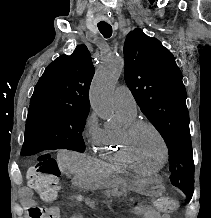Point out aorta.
<instances>
[{
	"instance_id": "aorta-1",
	"label": "aorta",
	"mask_w": 211,
	"mask_h": 218,
	"mask_svg": "<svg viewBox=\"0 0 211 218\" xmlns=\"http://www.w3.org/2000/svg\"><path fill=\"white\" fill-rule=\"evenodd\" d=\"M124 69L121 57H106L97 69L90 88V103L93 110L103 119H107L110 126L116 121L112 106V94L115 84Z\"/></svg>"
}]
</instances>
